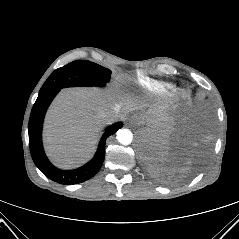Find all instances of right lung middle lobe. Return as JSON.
I'll list each match as a JSON object with an SVG mask.
<instances>
[{
    "label": "right lung middle lobe",
    "instance_id": "dd1d6c3e",
    "mask_svg": "<svg viewBox=\"0 0 239 239\" xmlns=\"http://www.w3.org/2000/svg\"><path fill=\"white\" fill-rule=\"evenodd\" d=\"M111 71L96 63L77 60L56 69L43 84L39 94L65 87L104 86Z\"/></svg>",
    "mask_w": 239,
    "mask_h": 239
}]
</instances>
